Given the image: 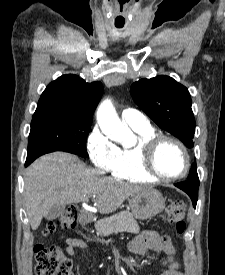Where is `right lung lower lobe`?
<instances>
[{
	"label": "right lung lower lobe",
	"mask_w": 225,
	"mask_h": 275,
	"mask_svg": "<svg viewBox=\"0 0 225 275\" xmlns=\"http://www.w3.org/2000/svg\"><path fill=\"white\" fill-rule=\"evenodd\" d=\"M31 162H29L28 160H26L25 166L27 167Z\"/></svg>",
	"instance_id": "right-lung-lower-lobe-1"
}]
</instances>
